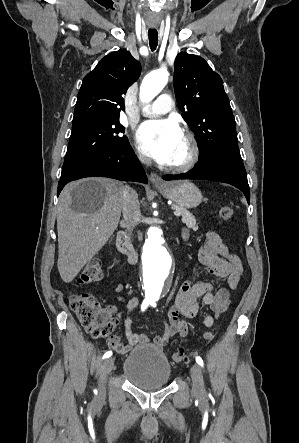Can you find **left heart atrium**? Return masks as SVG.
Wrapping results in <instances>:
<instances>
[{
    "mask_svg": "<svg viewBox=\"0 0 299 443\" xmlns=\"http://www.w3.org/2000/svg\"><path fill=\"white\" fill-rule=\"evenodd\" d=\"M182 139V130L174 119L145 122L136 134L139 149L162 164L172 162Z\"/></svg>",
    "mask_w": 299,
    "mask_h": 443,
    "instance_id": "left-heart-atrium-1",
    "label": "left heart atrium"
}]
</instances>
